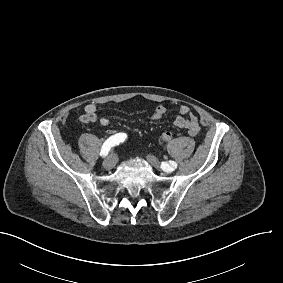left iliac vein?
Returning <instances> with one entry per match:
<instances>
[{"label":"left iliac vein","mask_w":283,"mask_h":283,"mask_svg":"<svg viewBox=\"0 0 283 283\" xmlns=\"http://www.w3.org/2000/svg\"><path fill=\"white\" fill-rule=\"evenodd\" d=\"M146 159L148 160L149 163H151L154 167L159 168L160 167V163L157 160V158L153 155H147ZM165 171L167 172H171L173 170L172 166H165L162 167Z\"/></svg>","instance_id":"obj_1"}]
</instances>
